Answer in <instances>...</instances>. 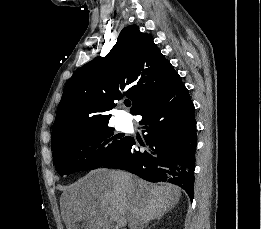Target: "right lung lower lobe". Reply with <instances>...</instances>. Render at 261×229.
<instances>
[{
  "label": "right lung lower lobe",
  "instance_id": "98d812e1",
  "mask_svg": "<svg viewBox=\"0 0 261 229\" xmlns=\"http://www.w3.org/2000/svg\"><path fill=\"white\" fill-rule=\"evenodd\" d=\"M194 105L180 76L155 100L143 107L146 149L137 150L130 139L122 152L104 168L126 170L150 182H168L194 195L197 146Z\"/></svg>",
  "mask_w": 261,
  "mask_h": 229
}]
</instances>
